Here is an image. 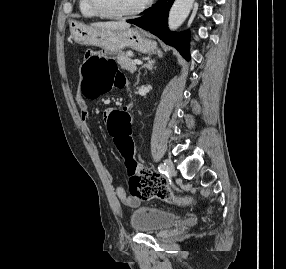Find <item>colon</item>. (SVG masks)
Returning <instances> with one entry per match:
<instances>
[{
    "instance_id": "5ec220e1",
    "label": "colon",
    "mask_w": 286,
    "mask_h": 269,
    "mask_svg": "<svg viewBox=\"0 0 286 269\" xmlns=\"http://www.w3.org/2000/svg\"><path fill=\"white\" fill-rule=\"evenodd\" d=\"M124 49H93L84 54L81 66L80 88L86 97H94L110 87H121L123 74L116 63L110 59H120ZM109 137L112 138L114 155L123 159L124 168L129 175V191L132 196L146 199L153 195L166 196L178 206H186L190 198H176L168 195L164 179L143 169V163H137L136 139L130 137L132 113L127 107L113 106L107 116Z\"/></svg>"
}]
</instances>
